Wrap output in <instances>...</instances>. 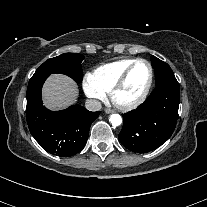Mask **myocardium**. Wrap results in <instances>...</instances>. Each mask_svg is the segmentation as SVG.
<instances>
[{"label":"myocardium","instance_id":"1","mask_svg":"<svg viewBox=\"0 0 207 207\" xmlns=\"http://www.w3.org/2000/svg\"><path fill=\"white\" fill-rule=\"evenodd\" d=\"M139 63L146 64L149 69V79H148V82H147L145 89L143 90V92L141 93V95L138 98H136L135 100H133L131 102L123 103V102L118 101V99H117L118 92L125 85L133 68ZM153 81H154V73H153V68H152L151 63L145 59H141V58L135 59L126 68V70L122 73V75L118 78V80L113 85V87L110 91V98L117 108H119L121 110H125V111L132 110V109L138 107L140 104H142L145 101V99L147 98V96L152 88Z\"/></svg>","mask_w":207,"mask_h":207}]
</instances>
